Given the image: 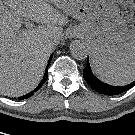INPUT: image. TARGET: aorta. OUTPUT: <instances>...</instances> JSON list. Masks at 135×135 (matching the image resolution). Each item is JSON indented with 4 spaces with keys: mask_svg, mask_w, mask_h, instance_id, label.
I'll return each instance as SVG.
<instances>
[{
    "mask_svg": "<svg viewBox=\"0 0 135 135\" xmlns=\"http://www.w3.org/2000/svg\"><path fill=\"white\" fill-rule=\"evenodd\" d=\"M70 53L75 59L84 60L88 56L89 49L85 42L74 40L70 44Z\"/></svg>",
    "mask_w": 135,
    "mask_h": 135,
    "instance_id": "obj_1",
    "label": "aorta"
}]
</instances>
